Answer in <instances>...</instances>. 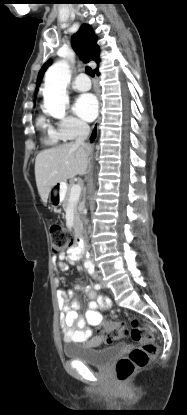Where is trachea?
Here are the masks:
<instances>
[{"instance_id": "3493384b", "label": "trachea", "mask_w": 187, "mask_h": 415, "mask_svg": "<svg viewBox=\"0 0 187 415\" xmlns=\"http://www.w3.org/2000/svg\"><path fill=\"white\" fill-rule=\"evenodd\" d=\"M86 73L89 75V76H94V73H93V70L90 68V67H86Z\"/></svg>"}]
</instances>
